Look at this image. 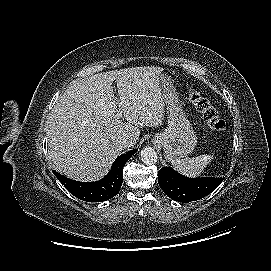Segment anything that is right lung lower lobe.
Returning a JSON list of instances; mask_svg holds the SVG:
<instances>
[{
  "instance_id": "right-lung-lower-lobe-1",
  "label": "right lung lower lobe",
  "mask_w": 271,
  "mask_h": 271,
  "mask_svg": "<svg viewBox=\"0 0 271 271\" xmlns=\"http://www.w3.org/2000/svg\"><path fill=\"white\" fill-rule=\"evenodd\" d=\"M137 152L133 149L120 155L112 164L109 173L96 182H78L71 180L55 170L54 175L64 187L75 197L87 202H102L114 197L123 183V167L132 155Z\"/></svg>"
}]
</instances>
